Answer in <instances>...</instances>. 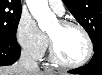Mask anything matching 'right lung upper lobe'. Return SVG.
Instances as JSON below:
<instances>
[{"label": "right lung upper lobe", "instance_id": "cb5924a9", "mask_svg": "<svg viewBox=\"0 0 102 75\" xmlns=\"http://www.w3.org/2000/svg\"><path fill=\"white\" fill-rule=\"evenodd\" d=\"M20 0H0V3L9 4V5H15V6H21Z\"/></svg>", "mask_w": 102, "mask_h": 75}]
</instances>
